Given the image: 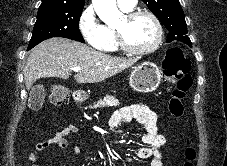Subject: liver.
<instances>
[{"label": "liver", "instance_id": "6515ba94", "mask_svg": "<svg viewBox=\"0 0 227 166\" xmlns=\"http://www.w3.org/2000/svg\"><path fill=\"white\" fill-rule=\"evenodd\" d=\"M137 59L113 57L67 38H50L35 46L27 59L24 81L29 90L42 77L68 79L72 68L80 71L77 83H99L129 68Z\"/></svg>", "mask_w": 227, "mask_h": 166}]
</instances>
